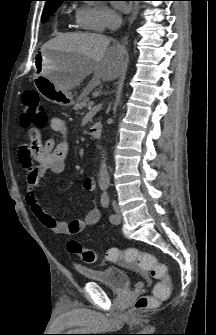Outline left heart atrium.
Returning <instances> with one entry per match:
<instances>
[{"label": "left heart atrium", "mask_w": 216, "mask_h": 335, "mask_svg": "<svg viewBox=\"0 0 216 335\" xmlns=\"http://www.w3.org/2000/svg\"><path fill=\"white\" fill-rule=\"evenodd\" d=\"M116 5H117V8H118V9H120V10H122V11L125 10V7H124L122 4L117 3Z\"/></svg>", "instance_id": "39dd6f15"}]
</instances>
